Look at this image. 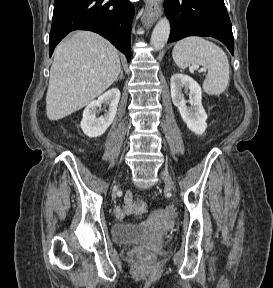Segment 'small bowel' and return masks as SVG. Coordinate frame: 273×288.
I'll return each instance as SVG.
<instances>
[{
    "label": "small bowel",
    "mask_w": 273,
    "mask_h": 288,
    "mask_svg": "<svg viewBox=\"0 0 273 288\" xmlns=\"http://www.w3.org/2000/svg\"><path fill=\"white\" fill-rule=\"evenodd\" d=\"M125 203L122 206H117L114 210L115 216L118 219L124 218L126 215L132 213V194L127 193L125 195Z\"/></svg>",
    "instance_id": "c3829d8e"
}]
</instances>
